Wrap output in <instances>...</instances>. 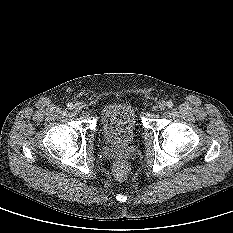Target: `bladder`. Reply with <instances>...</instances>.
<instances>
[{"label":"bladder","mask_w":233,"mask_h":233,"mask_svg":"<svg viewBox=\"0 0 233 233\" xmlns=\"http://www.w3.org/2000/svg\"><path fill=\"white\" fill-rule=\"evenodd\" d=\"M99 129L104 140L110 145L130 144L140 130L137 106L127 99L109 103L100 115Z\"/></svg>","instance_id":"1"}]
</instances>
